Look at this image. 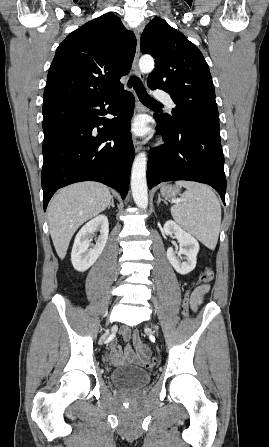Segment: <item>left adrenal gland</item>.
I'll use <instances>...</instances> for the list:
<instances>
[{
  "label": "left adrenal gland",
  "instance_id": "a2214340",
  "mask_svg": "<svg viewBox=\"0 0 269 447\" xmlns=\"http://www.w3.org/2000/svg\"><path fill=\"white\" fill-rule=\"evenodd\" d=\"M160 202H165V200H162L160 194H158L157 204H160ZM165 204H166V202H165Z\"/></svg>",
  "mask_w": 269,
  "mask_h": 447
}]
</instances>
